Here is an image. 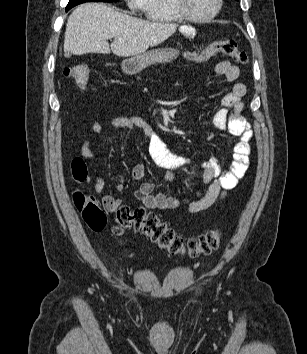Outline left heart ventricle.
<instances>
[{"instance_id": "b2bd125f", "label": "left heart ventricle", "mask_w": 307, "mask_h": 354, "mask_svg": "<svg viewBox=\"0 0 307 354\" xmlns=\"http://www.w3.org/2000/svg\"><path fill=\"white\" fill-rule=\"evenodd\" d=\"M217 5V0H187V8L196 16H206L212 13Z\"/></svg>"}]
</instances>
